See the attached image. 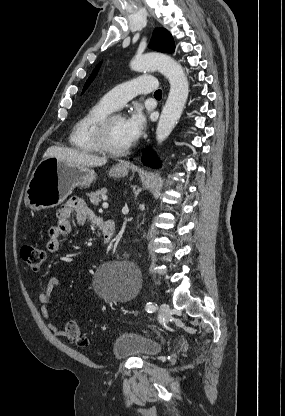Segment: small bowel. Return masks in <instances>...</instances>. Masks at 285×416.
I'll return each mask as SVG.
<instances>
[{
    "mask_svg": "<svg viewBox=\"0 0 285 416\" xmlns=\"http://www.w3.org/2000/svg\"><path fill=\"white\" fill-rule=\"evenodd\" d=\"M72 218H75L79 225H83L87 221L98 224L100 221L82 199L78 197L69 199L58 211L57 223L48 229L49 240L46 243V249L49 253L54 254L60 251V238L72 232ZM59 285L60 281L57 278L50 279L46 286L40 290L38 299L42 304L41 313L47 322L48 328L54 335L63 337L65 331L52 321L49 312L53 292Z\"/></svg>",
    "mask_w": 285,
    "mask_h": 416,
    "instance_id": "obj_1",
    "label": "small bowel"
}]
</instances>
